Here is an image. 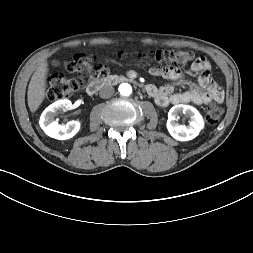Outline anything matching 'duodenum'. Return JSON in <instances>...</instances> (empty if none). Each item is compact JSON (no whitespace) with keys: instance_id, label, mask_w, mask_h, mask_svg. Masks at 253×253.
<instances>
[{"instance_id":"duodenum-1","label":"duodenum","mask_w":253,"mask_h":253,"mask_svg":"<svg viewBox=\"0 0 253 253\" xmlns=\"http://www.w3.org/2000/svg\"><path fill=\"white\" fill-rule=\"evenodd\" d=\"M130 81L128 77L111 75L105 78H99L95 82H90L86 88V92L89 95H95L101 88L106 85L115 84L119 82ZM148 86H146L147 89Z\"/></svg>"}]
</instances>
